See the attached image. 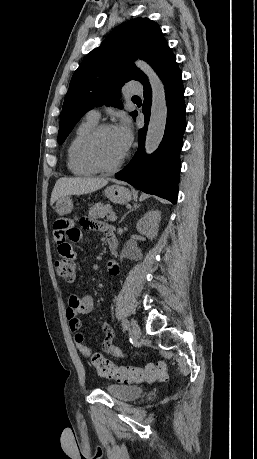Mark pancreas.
<instances>
[{
    "instance_id": "1",
    "label": "pancreas",
    "mask_w": 257,
    "mask_h": 459,
    "mask_svg": "<svg viewBox=\"0 0 257 459\" xmlns=\"http://www.w3.org/2000/svg\"><path fill=\"white\" fill-rule=\"evenodd\" d=\"M110 212H112V207L110 204H104L99 202L89 208L88 214L89 217L97 219L104 217L107 213Z\"/></svg>"
}]
</instances>
